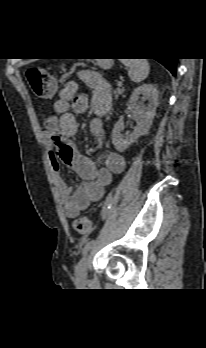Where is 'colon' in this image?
<instances>
[{"mask_svg": "<svg viewBox=\"0 0 206 348\" xmlns=\"http://www.w3.org/2000/svg\"><path fill=\"white\" fill-rule=\"evenodd\" d=\"M26 78L32 94L39 99L51 97L55 92V82L52 75L42 67H31L26 72ZM75 231L83 236L91 232V220L81 216L74 222Z\"/></svg>", "mask_w": 206, "mask_h": 348, "instance_id": "colon-1", "label": "colon"}]
</instances>
